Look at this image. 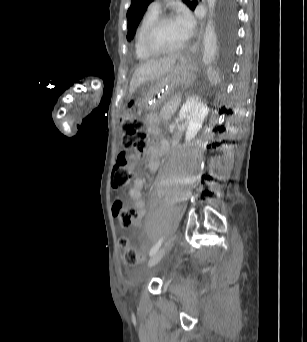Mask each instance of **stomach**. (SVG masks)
Segmentation results:
<instances>
[{
    "label": "stomach",
    "mask_w": 307,
    "mask_h": 342,
    "mask_svg": "<svg viewBox=\"0 0 307 342\" xmlns=\"http://www.w3.org/2000/svg\"><path fill=\"white\" fill-rule=\"evenodd\" d=\"M194 61L190 56H179L171 69L161 78L142 84L137 90V103L142 109L154 110L164 101L181 98L194 80Z\"/></svg>",
    "instance_id": "stomach-1"
}]
</instances>
